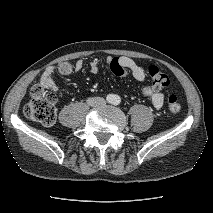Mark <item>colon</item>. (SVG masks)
Listing matches in <instances>:
<instances>
[{"mask_svg": "<svg viewBox=\"0 0 213 213\" xmlns=\"http://www.w3.org/2000/svg\"><path fill=\"white\" fill-rule=\"evenodd\" d=\"M59 72L64 76H69L75 71V65L66 61L58 66ZM112 71L117 76H126L130 73L128 65L114 60L111 64ZM148 75L152 87L156 90H162L169 85V77L156 65L148 68ZM56 98L55 95L43 87L41 84H35L30 92V100L24 107L26 118L37 121L45 126H51L56 121ZM168 109L172 113H178L181 110V103L176 95L168 97Z\"/></svg>", "mask_w": 213, "mask_h": 213, "instance_id": "5ec220e1", "label": "colon"}]
</instances>
